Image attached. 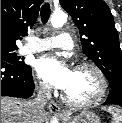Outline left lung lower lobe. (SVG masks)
I'll return each mask as SVG.
<instances>
[{"mask_svg": "<svg viewBox=\"0 0 122 123\" xmlns=\"http://www.w3.org/2000/svg\"><path fill=\"white\" fill-rule=\"evenodd\" d=\"M119 105L122 107V83H118L114 87H111L109 96L103 105Z\"/></svg>", "mask_w": 122, "mask_h": 123, "instance_id": "left-lung-lower-lobe-1", "label": "left lung lower lobe"}]
</instances>
